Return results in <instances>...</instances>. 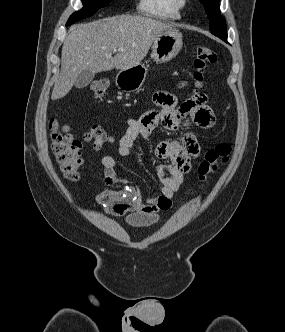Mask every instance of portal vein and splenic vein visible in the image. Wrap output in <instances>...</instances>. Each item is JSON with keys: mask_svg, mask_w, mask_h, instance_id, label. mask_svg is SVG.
<instances>
[{"mask_svg": "<svg viewBox=\"0 0 285 332\" xmlns=\"http://www.w3.org/2000/svg\"><path fill=\"white\" fill-rule=\"evenodd\" d=\"M123 48H118V49H114L113 52H117V51H123Z\"/></svg>", "mask_w": 285, "mask_h": 332, "instance_id": "1", "label": "portal vein and splenic vein"}]
</instances>
